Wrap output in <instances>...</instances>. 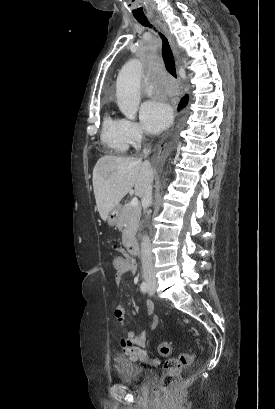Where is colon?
Instances as JSON below:
<instances>
[{
  "instance_id": "5ec220e1",
  "label": "colon",
  "mask_w": 275,
  "mask_h": 409,
  "mask_svg": "<svg viewBox=\"0 0 275 409\" xmlns=\"http://www.w3.org/2000/svg\"><path fill=\"white\" fill-rule=\"evenodd\" d=\"M122 256H114L112 262L118 274L124 273L125 264ZM159 355L161 358H168L172 350L169 340H162L160 343ZM194 351L187 350L178 356L170 357L165 363V373L160 380L162 388L174 386L180 378L183 369L194 361Z\"/></svg>"
}]
</instances>
